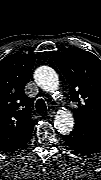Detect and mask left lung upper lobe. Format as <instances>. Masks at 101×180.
Here are the masks:
<instances>
[{
    "label": "left lung upper lobe",
    "mask_w": 101,
    "mask_h": 180,
    "mask_svg": "<svg viewBox=\"0 0 101 180\" xmlns=\"http://www.w3.org/2000/svg\"><path fill=\"white\" fill-rule=\"evenodd\" d=\"M54 61L70 89L75 125L101 131V61L91 52L71 48L59 52Z\"/></svg>",
    "instance_id": "5c2ea615"
}]
</instances>
